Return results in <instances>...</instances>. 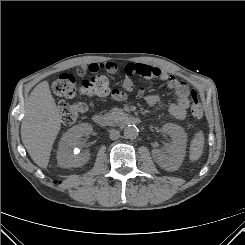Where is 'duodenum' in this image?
Listing matches in <instances>:
<instances>
[{"instance_id": "410a0bca", "label": "duodenum", "mask_w": 245, "mask_h": 245, "mask_svg": "<svg viewBox=\"0 0 245 245\" xmlns=\"http://www.w3.org/2000/svg\"><path fill=\"white\" fill-rule=\"evenodd\" d=\"M93 121L95 124H97L101 127H106L109 125L108 118L102 114H95L93 116ZM121 122L125 123V124L137 125L140 123V119L138 117H135V116L124 114L121 116Z\"/></svg>"}]
</instances>
